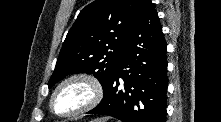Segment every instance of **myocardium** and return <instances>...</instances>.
Returning a JSON list of instances; mask_svg holds the SVG:
<instances>
[{"mask_svg": "<svg viewBox=\"0 0 221 122\" xmlns=\"http://www.w3.org/2000/svg\"><path fill=\"white\" fill-rule=\"evenodd\" d=\"M76 82L83 83L89 88L90 96L88 101L81 108L73 112L69 113L57 112L54 108V100L56 95L62 88H64L68 84ZM103 95H104L103 86L96 76L85 72L74 73L65 77L56 85L50 96L49 106L50 110L58 117L62 118L77 117L95 108L101 102Z\"/></svg>", "mask_w": 221, "mask_h": 122, "instance_id": "obj_1", "label": "myocardium"}]
</instances>
